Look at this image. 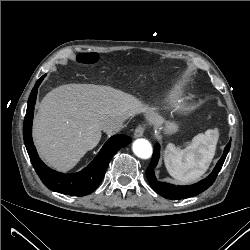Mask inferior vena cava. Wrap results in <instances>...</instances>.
Masks as SVG:
<instances>
[{"instance_id": "inferior-vena-cava-1", "label": "inferior vena cava", "mask_w": 250, "mask_h": 250, "mask_svg": "<svg viewBox=\"0 0 250 250\" xmlns=\"http://www.w3.org/2000/svg\"><path fill=\"white\" fill-rule=\"evenodd\" d=\"M124 118L109 119L104 123L103 130L106 132L119 131L125 127Z\"/></svg>"}]
</instances>
